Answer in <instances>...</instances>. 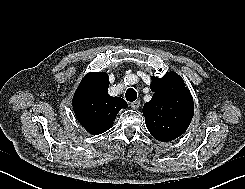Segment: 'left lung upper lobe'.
<instances>
[{
	"label": "left lung upper lobe",
	"mask_w": 245,
	"mask_h": 189,
	"mask_svg": "<svg viewBox=\"0 0 245 189\" xmlns=\"http://www.w3.org/2000/svg\"><path fill=\"white\" fill-rule=\"evenodd\" d=\"M150 88L154 94L143 107L147 129L162 142L178 138L194 114L193 98L184 80L175 72H168L162 78L153 76Z\"/></svg>",
	"instance_id": "left-lung-upper-lobe-1"
}]
</instances>
